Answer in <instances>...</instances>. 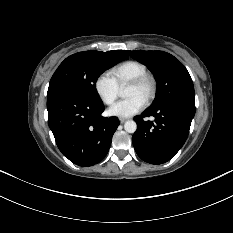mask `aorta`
Segmentation results:
<instances>
[{"instance_id":"762f6f07","label":"aorta","mask_w":233,"mask_h":233,"mask_svg":"<svg viewBox=\"0 0 233 233\" xmlns=\"http://www.w3.org/2000/svg\"><path fill=\"white\" fill-rule=\"evenodd\" d=\"M124 129L128 133H134L137 130V124L133 120H128L124 124Z\"/></svg>"}]
</instances>
